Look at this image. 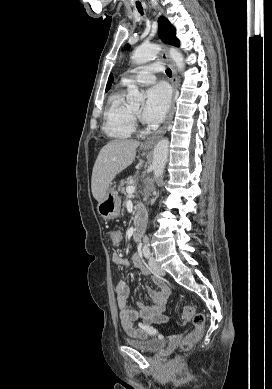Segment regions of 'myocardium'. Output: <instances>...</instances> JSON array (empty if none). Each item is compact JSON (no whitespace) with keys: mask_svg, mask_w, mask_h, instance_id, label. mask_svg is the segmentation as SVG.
<instances>
[{"mask_svg":"<svg viewBox=\"0 0 272 389\" xmlns=\"http://www.w3.org/2000/svg\"><path fill=\"white\" fill-rule=\"evenodd\" d=\"M132 116H133L134 121L139 119V113H136L133 110H132Z\"/></svg>","mask_w":272,"mask_h":389,"instance_id":"1","label":"myocardium"}]
</instances>
